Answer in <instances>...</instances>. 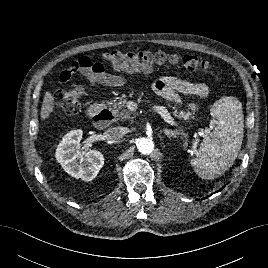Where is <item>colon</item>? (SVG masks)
<instances>
[{
  "mask_svg": "<svg viewBox=\"0 0 268 268\" xmlns=\"http://www.w3.org/2000/svg\"><path fill=\"white\" fill-rule=\"evenodd\" d=\"M109 68L113 70H148L153 66H176L181 65L189 74L205 72L210 64L196 56L185 55L180 57L175 54L163 52H126L110 51L105 55ZM87 62H80L84 68ZM84 96V89L81 86H74L68 89H61L55 93V101L67 113L75 114L80 110Z\"/></svg>",
  "mask_w": 268,
  "mask_h": 268,
  "instance_id": "obj_1",
  "label": "colon"
}]
</instances>
